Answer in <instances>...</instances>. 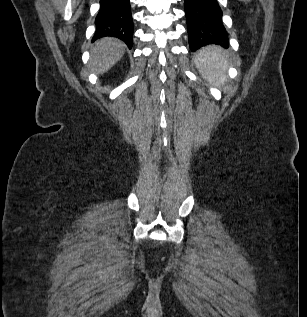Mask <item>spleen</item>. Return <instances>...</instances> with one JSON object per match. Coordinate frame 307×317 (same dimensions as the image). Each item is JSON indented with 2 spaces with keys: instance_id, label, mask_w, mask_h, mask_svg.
I'll list each match as a JSON object with an SVG mask.
<instances>
[{
  "instance_id": "spleen-1",
  "label": "spleen",
  "mask_w": 307,
  "mask_h": 317,
  "mask_svg": "<svg viewBox=\"0 0 307 317\" xmlns=\"http://www.w3.org/2000/svg\"><path fill=\"white\" fill-rule=\"evenodd\" d=\"M195 62L203 78L210 84L218 86L224 83L228 65L221 48L206 47L196 55Z\"/></svg>"
}]
</instances>
